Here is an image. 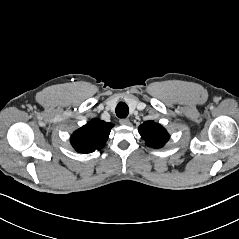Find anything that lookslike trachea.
Here are the masks:
<instances>
[{
	"label": "trachea",
	"instance_id": "3493384b",
	"mask_svg": "<svg viewBox=\"0 0 239 239\" xmlns=\"http://www.w3.org/2000/svg\"><path fill=\"white\" fill-rule=\"evenodd\" d=\"M116 115L119 118H126L129 113L128 105L124 102H119L116 106Z\"/></svg>",
	"mask_w": 239,
	"mask_h": 239
}]
</instances>
